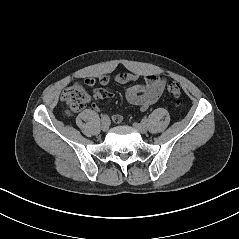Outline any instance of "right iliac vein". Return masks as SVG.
<instances>
[{"label":"right iliac vein","mask_w":239,"mask_h":239,"mask_svg":"<svg viewBox=\"0 0 239 239\" xmlns=\"http://www.w3.org/2000/svg\"><path fill=\"white\" fill-rule=\"evenodd\" d=\"M101 129H102L103 132L108 131V129H109V124H108L107 122L102 123Z\"/></svg>","instance_id":"right-iliac-vein-1"}]
</instances>
